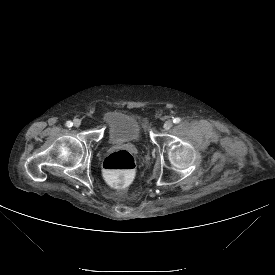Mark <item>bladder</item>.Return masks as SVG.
Here are the masks:
<instances>
[{"label": "bladder", "mask_w": 275, "mask_h": 275, "mask_svg": "<svg viewBox=\"0 0 275 275\" xmlns=\"http://www.w3.org/2000/svg\"><path fill=\"white\" fill-rule=\"evenodd\" d=\"M108 138L115 143H132L141 134L142 119L127 110H114L106 117Z\"/></svg>", "instance_id": "31cf9c89"}]
</instances>
